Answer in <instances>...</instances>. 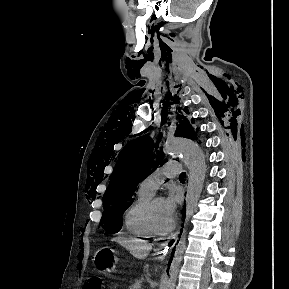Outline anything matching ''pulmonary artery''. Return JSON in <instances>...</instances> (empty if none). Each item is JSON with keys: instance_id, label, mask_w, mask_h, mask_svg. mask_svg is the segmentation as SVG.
I'll list each match as a JSON object with an SVG mask.
<instances>
[{"instance_id": "obj_1", "label": "pulmonary artery", "mask_w": 289, "mask_h": 289, "mask_svg": "<svg viewBox=\"0 0 289 289\" xmlns=\"http://www.w3.org/2000/svg\"><path fill=\"white\" fill-rule=\"evenodd\" d=\"M180 174V166L178 161H167L160 166L156 171L144 178L139 189L154 194L159 185L164 181L165 178L176 177Z\"/></svg>"}]
</instances>
